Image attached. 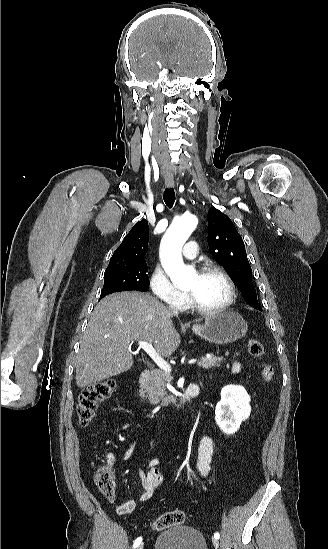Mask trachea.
<instances>
[{
	"label": "trachea",
	"mask_w": 328,
	"mask_h": 549,
	"mask_svg": "<svg viewBox=\"0 0 328 549\" xmlns=\"http://www.w3.org/2000/svg\"><path fill=\"white\" fill-rule=\"evenodd\" d=\"M163 198L167 207L171 208L174 205L176 198L174 189H165Z\"/></svg>",
	"instance_id": "1"
}]
</instances>
